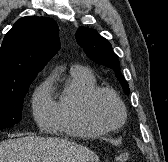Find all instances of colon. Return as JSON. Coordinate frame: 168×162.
Segmentation results:
<instances>
[{
	"label": "colon",
	"instance_id": "1",
	"mask_svg": "<svg viewBox=\"0 0 168 162\" xmlns=\"http://www.w3.org/2000/svg\"><path fill=\"white\" fill-rule=\"evenodd\" d=\"M117 162H129V155L128 154H119L116 157Z\"/></svg>",
	"mask_w": 168,
	"mask_h": 162
}]
</instances>
